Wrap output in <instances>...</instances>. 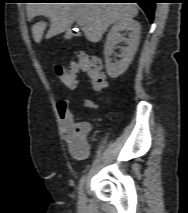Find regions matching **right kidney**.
<instances>
[{"label":"right kidney","instance_id":"obj_1","mask_svg":"<svg viewBox=\"0 0 188 213\" xmlns=\"http://www.w3.org/2000/svg\"><path fill=\"white\" fill-rule=\"evenodd\" d=\"M140 29V23L134 19L118 21L111 27L104 47L106 70L111 78L122 75L131 64L139 45ZM124 30L128 32V38L121 34ZM119 42H124L127 47L122 49L121 60L112 62V53Z\"/></svg>","mask_w":188,"mask_h":213}]
</instances>
